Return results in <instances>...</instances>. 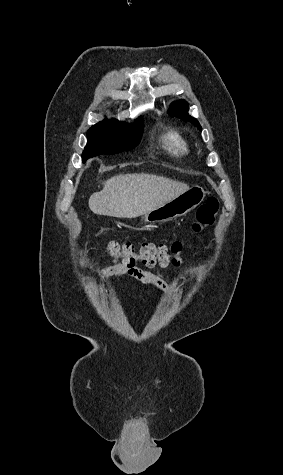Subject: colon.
I'll use <instances>...</instances> for the list:
<instances>
[{"mask_svg":"<svg viewBox=\"0 0 283 475\" xmlns=\"http://www.w3.org/2000/svg\"><path fill=\"white\" fill-rule=\"evenodd\" d=\"M219 212V202L216 198L207 199L196 211L192 228L196 233H202L212 226ZM186 246L181 242L173 245L165 243H143L140 248H136L132 243H110L106 253L111 258L121 260L122 266L127 269L134 268L137 262H141L147 267L167 268L173 264L183 262V252Z\"/></svg>","mask_w":283,"mask_h":475,"instance_id":"5ec220e1","label":"colon"}]
</instances>
